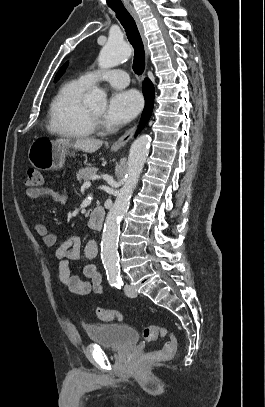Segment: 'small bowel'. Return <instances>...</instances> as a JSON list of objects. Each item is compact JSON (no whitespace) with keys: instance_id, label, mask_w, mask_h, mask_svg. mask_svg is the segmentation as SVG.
Here are the masks:
<instances>
[{"instance_id":"1","label":"small bowel","mask_w":265,"mask_h":407,"mask_svg":"<svg viewBox=\"0 0 265 407\" xmlns=\"http://www.w3.org/2000/svg\"><path fill=\"white\" fill-rule=\"evenodd\" d=\"M26 199H37L40 197H51L58 202H64L65 196L49 187L29 188L24 191ZM35 232L41 237L46 246H53L58 241V235L52 233L42 223L34 224ZM82 243L78 236H69L58 247L55 259L58 263V274L60 281L74 294L87 296L91 292L104 295L102 287V274L93 263H87L83 267L84 278L75 275L70 267V262L78 260L81 256ZM84 255L92 260L97 255V244L89 241L84 248Z\"/></svg>"}]
</instances>
